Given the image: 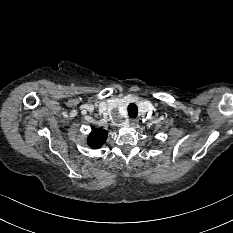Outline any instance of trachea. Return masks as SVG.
<instances>
[{
  "label": "trachea",
  "mask_w": 233,
  "mask_h": 233,
  "mask_svg": "<svg viewBox=\"0 0 233 233\" xmlns=\"http://www.w3.org/2000/svg\"><path fill=\"white\" fill-rule=\"evenodd\" d=\"M138 114V108L134 103L129 104L128 106V115L130 118H135Z\"/></svg>",
  "instance_id": "1"
}]
</instances>
